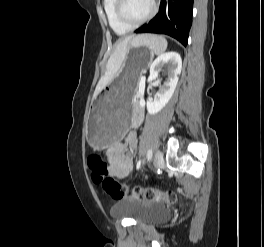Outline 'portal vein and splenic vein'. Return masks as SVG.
I'll return each instance as SVG.
<instances>
[{
	"label": "portal vein and splenic vein",
	"mask_w": 264,
	"mask_h": 247,
	"mask_svg": "<svg viewBox=\"0 0 264 247\" xmlns=\"http://www.w3.org/2000/svg\"><path fill=\"white\" fill-rule=\"evenodd\" d=\"M145 80V76L144 75H141L140 76V81L143 82Z\"/></svg>",
	"instance_id": "obj_1"
}]
</instances>
